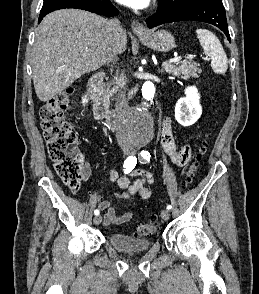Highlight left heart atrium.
Listing matches in <instances>:
<instances>
[{
    "mask_svg": "<svg viewBox=\"0 0 259 294\" xmlns=\"http://www.w3.org/2000/svg\"><path fill=\"white\" fill-rule=\"evenodd\" d=\"M122 5L134 8L144 9L149 5L150 0H116Z\"/></svg>",
    "mask_w": 259,
    "mask_h": 294,
    "instance_id": "1",
    "label": "left heart atrium"
}]
</instances>
